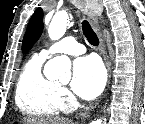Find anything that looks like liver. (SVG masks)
<instances>
[{
	"label": "liver",
	"mask_w": 145,
	"mask_h": 124,
	"mask_svg": "<svg viewBox=\"0 0 145 124\" xmlns=\"http://www.w3.org/2000/svg\"><path fill=\"white\" fill-rule=\"evenodd\" d=\"M22 124H72L65 118L24 117Z\"/></svg>",
	"instance_id": "1"
}]
</instances>
